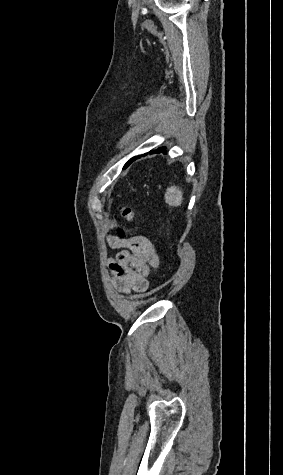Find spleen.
<instances>
[{
  "instance_id": "spleen-1",
  "label": "spleen",
  "mask_w": 283,
  "mask_h": 475,
  "mask_svg": "<svg viewBox=\"0 0 283 475\" xmlns=\"http://www.w3.org/2000/svg\"><path fill=\"white\" fill-rule=\"evenodd\" d=\"M166 204L168 206H181L183 200V192L179 186H171L167 188L164 196Z\"/></svg>"
}]
</instances>
